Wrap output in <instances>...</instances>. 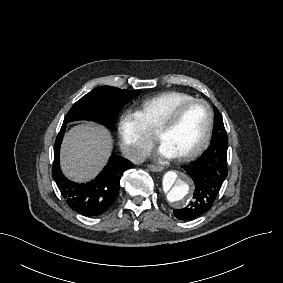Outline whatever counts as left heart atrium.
Masks as SVG:
<instances>
[{
	"label": "left heart atrium",
	"instance_id": "39dd6f15",
	"mask_svg": "<svg viewBox=\"0 0 283 283\" xmlns=\"http://www.w3.org/2000/svg\"><path fill=\"white\" fill-rule=\"evenodd\" d=\"M160 155H161L163 158H166V159H172V158H175V157H176L170 150H168V149H167L166 147H164V146H161Z\"/></svg>",
	"mask_w": 283,
	"mask_h": 283
}]
</instances>
